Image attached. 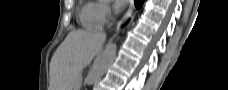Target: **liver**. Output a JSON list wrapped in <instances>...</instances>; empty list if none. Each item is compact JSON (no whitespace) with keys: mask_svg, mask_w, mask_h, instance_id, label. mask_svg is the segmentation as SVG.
<instances>
[{"mask_svg":"<svg viewBox=\"0 0 228 90\" xmlns=\"http://www.w3.org/2000/svg\"><path fill=\"white\" fill-rule=\"evenodd\" d=\"M106 36L83 30L71 31L50 62V90H74L82 69L100 52Z\"/></svg>","mask_w":228,"mask_h":90,"instance_id":"obj_1","label":"liver"}]
</instances>
